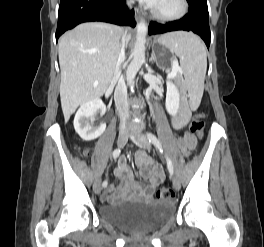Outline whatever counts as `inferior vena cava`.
<instances>
[{
  "instance_id": "inferior-vena-cava-1",
  "label": "inferior vena cava",
  "mask_w": 264,
  "mask_h": 247,
  "mask_svg": "<svg viewBox=\"0 0 264 247\" xmlns=\"http://www.w3.org/2000/svg\"><path fill=\"white\" fill-rule=\"evenodd\" d=\"M128 4L130 5V2H128ZM124 34H126V32H124ZM124 59H125V40L123 39L120 43L119 54L112 78V82L116 83L114 100L121 122H125L126 119L129 117L127 88L124 80L121 79L120 77V66L124 61Z\"/></svg>"
}]
</instances>
